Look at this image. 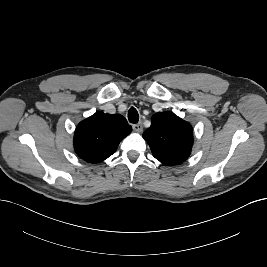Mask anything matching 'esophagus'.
<instances>
[{
	"label": "esophagus",
	"mask_w": 267,
	"mask_h": 267,
	"mask_svg": "<svg viewBox=\"0 0 267 267\" xmlns=\"http://www.w3.org/2000/svg\"><path fill=\"white\" fill-rule=\"evenodd\" d=\"M132 127H133V130L136 132H142L143 130V126L141 123L134 124Z\"/></svg>",
	"instance_id": "esophagus-1"
}]
</instances>
